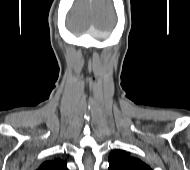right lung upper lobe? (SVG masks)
<instances>
[{
    "label": "right lung upper lobe",
    "mask_w": 190,
    "mask_h": 170,
    "mask_svg": "<svg viewBox=\"0 0 190 170\" xmlns=\"http://www.w3.org/2000/svg\"><path fill=\"white\" fill-rule=\"evenodd\" d=\"M37 170H68V168L66 167V162L61 159H54L45 161Z\"/></svg>",
    "instance_id": "cb5924a9"
}]
</instances>
